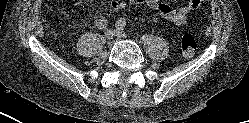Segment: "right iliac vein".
<instances>
[{
	"mask_svg": "<svg viewBox=\"0 0 249 123\" xmlns=\"http://www.w3.org/2000/svg\"><path fill=\"white\" fill-rule=\"evenodd\" d=\"M114 36H115V34H114V31H112V30H107V31L105 32V38H106L108 41L112 40V39L114 38Z\"/></svg>",
	"mask_w": 249,
	"mask_h": 123,
	"instance_id": "63e3f726",
	"label": "right iliac vein"
}]
</instances>
